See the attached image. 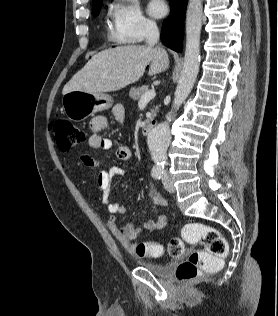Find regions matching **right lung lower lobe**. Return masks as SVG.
Listing matches in <instances>:
<instances>
[{
	"label": "right lung lower lobe",
	"instance_id": "obj_1",
	"mask_svg": "<svg viewBox=\"0 0 278 316\" xmlns=\"http://www.w3.org/2000/svg\"><path fill=\"white\" fill-rule=\"evenodd\" d=\"M171 15L165 21L161 31L163 44L176 52L182 51L183 17L187 0H169Z\"/></svg>",
	"mask_w": 278,
	"mask_h": 316
}]
</instances>
